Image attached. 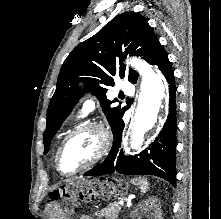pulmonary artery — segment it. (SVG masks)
<instances>
[{"label":"pulmonary artery","instance_id":"pulmonary-artery-1","mask_svg":"<svg viewBox=\"0 0 221 219\" xmlns=\"http://www.w3.org/2000/svg\"><path fill=\"white\" fill-rule=\"evenodd\" d=\"M119 86H120V90L126 95L132 94L134 92V88L131 82L128 81L127 79H122L119 83ZM94 108H95V101L92 98L88 99L83 103L82 108H81V113L86 115L90 113L91 111H93Z\"/></svg>","mask_w":221,"mask_h":219}]
</instances>
